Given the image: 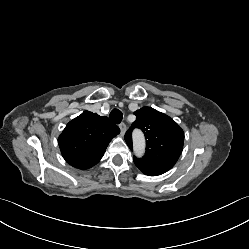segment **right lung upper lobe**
Returning a JSON list of instances; mask_svg holds the SVG:
<instances>
[{
	"mask_svg": "<svg viewBox=\"0 0 249 249\" xmlns=\"http://www.w3.org/2000/svg\"><path fill=\"white\" fill-rule=\"evenodd\" d=\"M120 129L107 117L89 111L70 121L58 138L63 158L78 169H88L102 158Z\"/></svg>",
	"mask_w": 249,
	"mask_h": 249,
	"instance_id": "obj_1",
	"label": "right lung upper lobe"
}]
</instances>
